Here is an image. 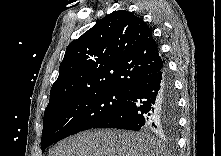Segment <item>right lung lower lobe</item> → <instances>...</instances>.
Wrapping results in <instances>:
<instances>
[{
    "label": "right lung lower lobe",
    "instance_id": "1",
    "mask_svg": "<svg viewBox=\"0 0 221 156\" xmlns=\"http://www.w3.org/2000/svg\"><path fill=\"white\" fill-rule=\"evenodd\" d=\"M178 105L172 77L164 66L138 81L126 102L93 128L140 130L145 127L177 129Z\"/></svg>",
    "mask_w": 221,
    "mask_h": 156
}]
</instances>
